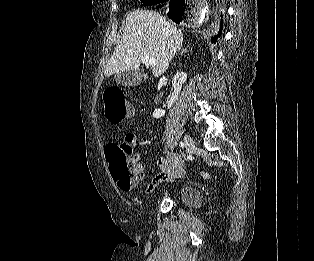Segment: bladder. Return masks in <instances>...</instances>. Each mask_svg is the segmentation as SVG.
Masks as SVG:
<instances>
[{"instance_id": "obj_1", "label": "bladder", "mask_w": 314, "mask_h": 261, "mask_svg": "<svg viewBox=\"0 0 314 261\" xmlns=\"http://www.w3.org/2000/svg\"><path fill=\"white\" fill-rule=\"evenodd\" d=\"M178 198L182 204L190 208H198L202 204V195L194 186L180 188Z\"/></svg>"}]
</instances>
